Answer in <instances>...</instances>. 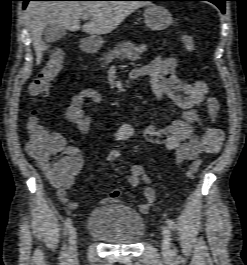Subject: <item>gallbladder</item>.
<instances>
[{"label": "gallbladder", "mask_w": 247, "mask_h": 265, "mask_svg": "<svg viewBox=\"0 0 247 265\" xmlns=\"http://www.w3.org/2000/svg\"><path fill=\"white\" fill-rule=\"evenodd\" d=\"M67 29L60 25L49 24L43 31L46 42L53 43L66 35Z\"/></svg>", "instance_id": "bac80fb5"}]
</instances>
